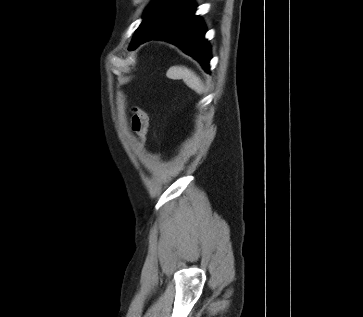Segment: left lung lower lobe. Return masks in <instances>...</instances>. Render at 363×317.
Segmentation results:
<instances>
[{
  "mask_svg": "<svg viewBox=\"0 0 363 317\" xmlns=\"http://www.w3.org/2000/svg\"><path fill=\"white\" fill-rule=\"evenodd\" d=\"M195 9L189 0H159L146 31L130 50L151 39L169 41L194 57L209 73L210 47L204 39L205 26L194 15Z\"/></svg>",
  "mask_w": 363,
  "mask_h": 317,
  "instance_id": "obj_1",
  "label": "left lung lower lobe"
}]
</instances>
